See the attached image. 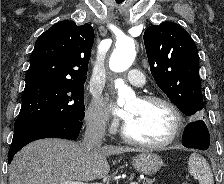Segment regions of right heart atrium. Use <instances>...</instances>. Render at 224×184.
Instances as JSON below:
<instances>
[{
	"mask_svg": "<svg viewBox=\"0 0 224 184\" xmlns=\"http://www.w3.org/2000/svg\"><path fill=\"white\" fill-rule=\"evenodd\" d=\"M85 122L90 129L97 132H104L109 126L106 103L98 94L94 95L86 109Z\"/></svg>",
	"mask_w": 224,
	"mask_h": 184,
	"instance_id": "right-heart-atrium-1",
	"label": "right heart atrium"
}]
</instances>
